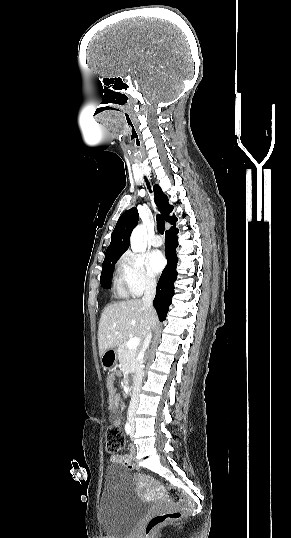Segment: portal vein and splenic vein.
I'll use <instances>...</instances> for the list:
<instances>
[{"mask_svg": "<svg viewBox=\"0 0 291 538\" xmlns=\"http://www.w3.org/2000/svg\"><path fill=\"white\" fill-rule=\"evenodd\" d=\"M139 344H140V338L139 337H133L127 342V346L130 349L137 348Z\"/></svg>", "mask_w": 291, "mask_h": 538, "instance_id": "portal-vein-and-splenic-vein-1", "label": "portal vein and splenic vein"}]
</instances>
